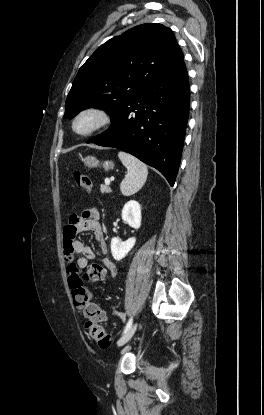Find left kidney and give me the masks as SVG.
Returning a JSON list of instances; mask_svg holds the SVG:
<instances>
[{"label": "left kidney", "instance_id": "1", "mask_svg": "<svg viewBox=\"0 0 264 415\" xmlns=\"http://www.w3.org/2000/svg\"><path fill=\"white\" fill-rule=\"evenodd\" d=\"M122 219L132 228L139 229L141 226V207L135 200L128 201L122 209ZM136 239L129 238L122 241L116 237L111 239V253L115 260H122L134 247Z\"/></svg>", "mask_w": 264, "mask_h": 415}]
</instances>
